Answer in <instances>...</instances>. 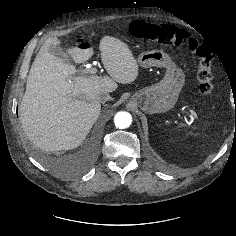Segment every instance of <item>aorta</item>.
Returning a JSON list of instances; mask_svg holds the SVG:
<instances>
[{
  "instance_id": "obj_1",
  "label": "aorta",
  "mask_w": 236,
  "mask_h": 236,
  "mask_svg": "<svg viewBox=\"0 0 236 236\" xmlns=\"http://www.w3.org/2000/svg\"><path fill=\"white\" fill-rule=\"evenodd\" d=\"M114 123L119 129L128 128L132 123V116L128 112L120 111L116 113L114 117Z\"/></svg>"
}]
</instances>
